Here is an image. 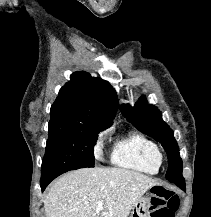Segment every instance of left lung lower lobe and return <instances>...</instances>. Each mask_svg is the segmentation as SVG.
<instances>
[{
    "label": "left lung lower lobe",
    "instance_id": "0a47b994",
    "mask_svg": "<svg viewBox=\"0 0 211 217\" xmlns=\"http://www.w3.org/2000/svg\"><path fill=\"white\" fill-rule=\"evenodd\" d=\"M178 187H180L183 191H185L186 189H185V185H183V184H180V185H177Z\"/></svg>",
    "mask_w": 211,
    "mask_h": 217
}]
</instances>
